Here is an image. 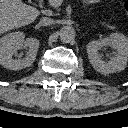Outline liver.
Masks as SVG:
<instances>
[{
    "label": "liver",
    "instance_id": "obj_1",
    "mask_svg": "<svg viewBox=\"0 0 128 128\" xmlns=\"http://www.w3.org/2000/svg\"><path fill=\"white\" fill-rule=\"evenodd\" d=\"M39 14L38 9L21 0H0V35L32 23Z\"/></svg>",
    "mask_w": 128,
    "mask_h": 128
}]
</instances>
